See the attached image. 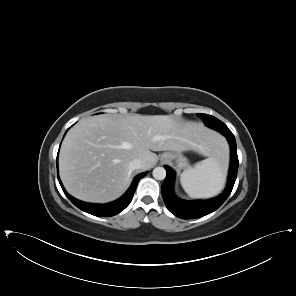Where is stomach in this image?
Instances as JSON below:
<instances>
[{
    "instance_id": "0dacf381",
    "label": "stomach",
    "mask_w": 296,
    "mask_h": 296,
    "mask_svg": "<svg viewBox=\"0 0 296 296\" xmlns=\"http://www.w3.org/2000/svg\"><path fill=\"white\" fill-rule=\"evenodd\" d=\"M164 156H168L170 160H175L178 169H187L189 167L187 158L180 152H166L162 154V160L164 159Z\"/></svg>"
}]
</instances>
